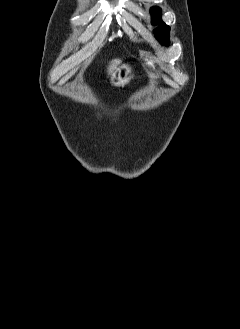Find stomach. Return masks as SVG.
I'll use <instances>...</instances> for the list:
<instances>
[{
	"mask_svg": "<svg viewBox=\"0 0 240 329\" xmlns=\"http://www.w3.org/2000/svg\"><path fill=\"white\" fill-rule=\"evenodd\" d=\"M146 65L150 68H154L155 65L151 59H144ZM131 67L123 64L116 68L111 76V84L116 87L124 86L131 80Z\"/></svg>",
	"mask_w": 240,
	"mask_h": 329,
	"instance_id": "0dacf381",
	"label": "stomach"
}]
</instances>
